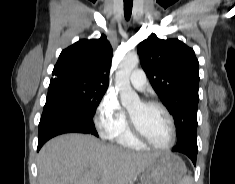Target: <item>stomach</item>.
<instances>
[{
  "instance_id": "1",
  "label": "stomach",
  "mask_w": 235,
  "mask_h": 184,
  "mask_svg": "<svg viewBox=\"0 0 235 184\" xmlns=\"http://www.w3.org/2000/svg\"><path fill=\"white\" fill-rule=\"evenodd\" d=\"M186 174V166L178 156H158L148 166L141 184H181Z\"/></svg>"
}]
</instances>
